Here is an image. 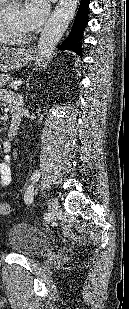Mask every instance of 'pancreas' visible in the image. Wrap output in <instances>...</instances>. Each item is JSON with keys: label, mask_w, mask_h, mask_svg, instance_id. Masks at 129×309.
Returning <instances> with one entry per match:
<instances>
[{"label": "pancreas", "mask_w": 129, "mask_h": 309, "mask_svg": "<svg viewBox=\"0 0 129 309\" xmlns=\"http://www.w3.org/2000/svg\"><path fill=\"white\" fill-rule=\"evenodd\" d=\"M8 76L4 75V74H0V85H3L4 83H6L8 81Z\"/></svg>", "instance_id": "obj_1"}]
</instances>
